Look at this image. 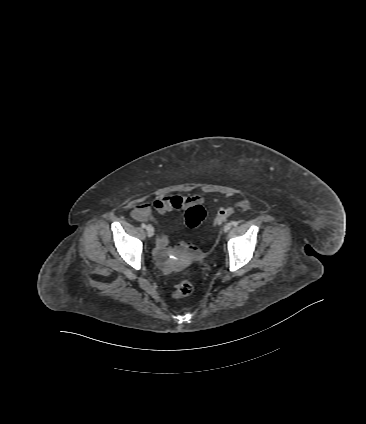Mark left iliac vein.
<instances>
[{
  "label": "left iliac vein",
  "mask_w": 366,
  "mask_h": 424,
  "mask_svg": "<svg viewBox=\"0 0 366 424\" xmlns=\"http://www.w3.org/2000/svg\"><path fill=\"white\" fill-rule=\"evenodd\" d=\"M231 227H232V224H231V223H227V224L224 226V228H223L224 232H228V231L231 229Z\"/></svg>",
  "instance_id": "left-iliac-vein-1"
}]
</instances>
